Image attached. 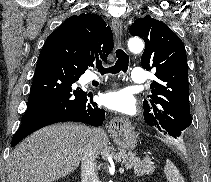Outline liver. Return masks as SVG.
Wrapping results in <instances>:
<instances>
[{
    "mask_svg": "<svg viewBox=\"0 0 211 182\" xmlns=\"http://www.w3.org/2000/svg\"><path fill=\"white\" fill-rule=\"evenodd\" d=\"M92 131L99 154L108 145V136L100 128L66 123L31 134L10 154L7 182H53L69 175L79 166Z\"/></svg>",
    "mask_w": 211,
    "mask_h": 182,
    "instance_id": "6515ba94",
    "label": "liver"
}]
</instances>
